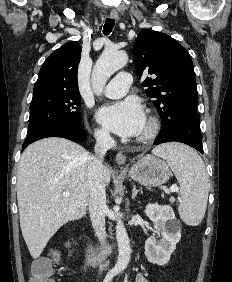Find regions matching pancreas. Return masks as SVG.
<instances>
[{"label":"pancreas","instance_id":"obj_1","mask_svg":"<svg viewBox=\"0 0 232 282\" xmlns=\"http://www.w3.org/2000/svg\"><path fill=\"white\" fill-rule=\"evenodd\" d=\"M171 202H174V199H170Z\"/></svg>","mask_w":232,"mask_h":282}]
</instances>
